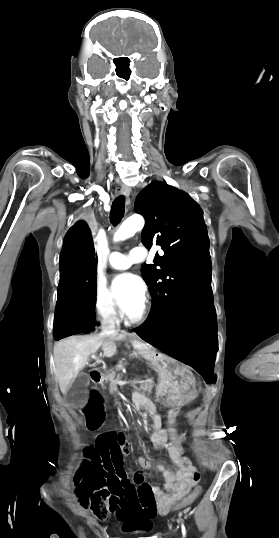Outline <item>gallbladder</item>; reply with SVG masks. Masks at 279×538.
I'll list each match as a JSON object with an SVG mask.
<instances>
[{
	"mask_svg": "<svg viewBox=\"0 0 279 538\" xmlns=\"http://www.w3.org/2000/svg\"><path fill=\"white\" fill-rule=\"evenodd\" d=\"M88 384L89 378L87 374H83V372H81V374H78L76 380H74L73 384H71L70 390H68L66 396H68L69 399L72 400L70 403L72 409L77 410L80 408L81 403L87 402V397L81 396V394H84V392H86ZM79 396H81L80 401Z\"/></svg>",
	"mask_w": 279,
	"mask_h": 538,
	"instance_id": "1",
	"label": "gallbladder"
}]
</instances>
